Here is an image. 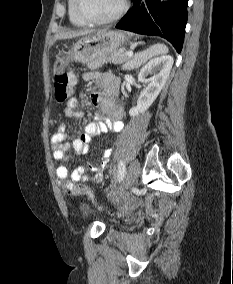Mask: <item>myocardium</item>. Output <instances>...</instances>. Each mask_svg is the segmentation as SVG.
<instances>
[{
  "label": "myocardium",
  "instance_id": "f54148a6",
  "mask_svg": "<svg viewBox=\"0 0 233 284\" xmlns=\"http://www.w3.org/2000/svg\"><path fill=\"white\" fill-rule=\"evenodd\" d=\"M129 6L128 0H123L122 5L120 9L113 14L112 16L104 19H97L93 18L90 15H88L84 9V0H76V11L79 17L84 20L87 24H92V25H103V24H108L112 23L119 18H121L124 13L127 11Z\"/></svg>",
  "mask_w": 233,
  "mask_h": 284
}]
</instances>
